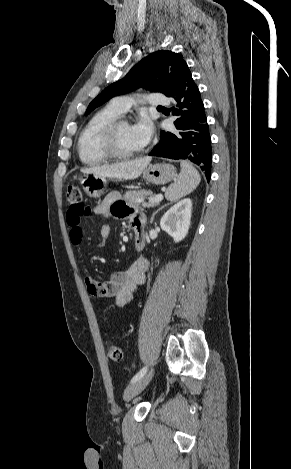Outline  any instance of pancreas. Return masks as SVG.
I'll use <instances>...</instances> for the list:
<instances>
[{
	"label": "pancreas",
	"instance_id": "pancreas-1",
	"mask_svg": "<svg viewBox=\"0 0 291 469\" xmlns=\"http://www.w3.org/2000/svg\"><path fill=\"white\" fill-rule=\"evenodd\" d=\"M149 196V202L146 203L143 199ZM154 198V194L150 190H134L128 191L124 194V200L127 202L128 205L132 207H138L141 203L143 206L146 207H154L157 206L159 203L157 202H150L151 199ZM139 200H142L141 202Z\"/></svg>",
	"mask_w": 291,
	"mask_h": 469
}]
</instances>
